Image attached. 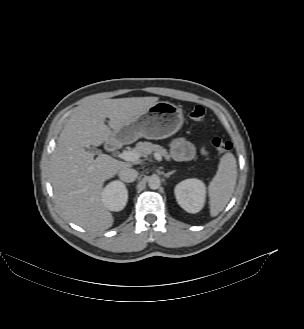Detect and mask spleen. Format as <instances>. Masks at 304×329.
<instances>
[{"label": "spleen", "mask_w": 304, "mask_h": 329, "mask_svg": "<svg viewBox=\"0 0 304 329\" xmlns=\"http://www.w3.org/2000/svg\"><path fill=\"white\" fill-rule=\"evenodd\" d=\"M236 179V158L232 153H226L221 157L217 173L209 183V206L212 217L217 216L230 201Z\"/></svg>", "instance_id": "spleen-1"}]
</instances>
